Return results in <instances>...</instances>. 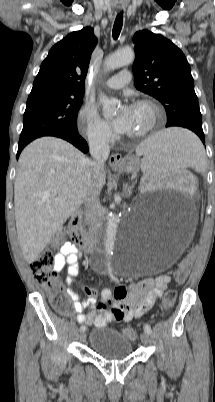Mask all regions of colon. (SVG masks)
<instances>
[{"instance_id": "5ec220e1", "label": "colon", "mask_w": 215, "mask_h": 402, "mask_svg": "<svg viewBox=\"0 0 215 402\" xmlns=\"http://www.w3.org/2000/svg\"><path fill=\"white\" fill-rule=\"evenodd\" d=\"M63 238V232L59 231L52 239L51 247L55 248L59 246L62 243ZM197 258V251H186L185 259L181 262L176 272L177 280L179 282L185 280L190 268L191 260H197ZM31 268L36 281L47 290L53 308L58 313H67L68 299L58 279V271L55 269V256L53 251L51 249L43 251L32 262ZM176 296L177 293L175 290L166 291L162 299L163 308L170 309L176 300ZM123 334L132 341L137 338V332L132 327L125 328Z\"/></svg>"}]
</instances>
